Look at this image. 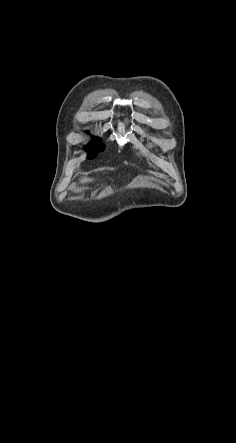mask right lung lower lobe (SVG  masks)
<instances>
[{
	"mask_svg": "<svg viewBox=\"0 0 236 443\" xmlns=\"http://www.w3.org/2000/svg\"><path fill=\"white\" fill-rule=\"evenodd\" d=\"M96 155H97V152L95 150L91 149L89 151L88 157L91 159V158L96 157Z\"/></svg>",
	"mask_w": 236,
	"mask_h": 443,
	"instance_id": "98d812e1",
	"label": "right lung lower lobe"
}]
</instances>
